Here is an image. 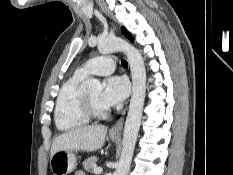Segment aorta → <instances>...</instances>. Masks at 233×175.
Wrapping results in <instances>:
<instances>
[{
	"label": "aorta",
	"instance_id": "obj_1",
	"mask_svg": "<svg viewBox=\"0 0 233 175\" xmlns=\"http://www.w3.org/2000/svg\"><path fill=\"white\" fill-rule=\"evenodd\" d=\"M99 53L124 52L127 56L132 75V95L123 132V147L114 175H127L141 124L146 93V70L140 52L121 38L102 39L98 42ZM89 90H101L99 80L90 78L85 82Z\"/></svg>",
	"mask_w": 233,
	"mask_h": 175
}]
</instances>
